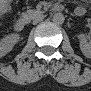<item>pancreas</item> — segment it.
<instances>
[{
    "instance_id": "obj_1",
    "label": "pancreas",
    "mask_w": 91,
    "mask_h": 91,
    "mask_svg": "<svg viewBox=\"0 0 91 91\" xmlns=\"http://www.w3.org/2000/svg\"><path fill=\"white\" fill-rule=\"evenodd\" d=\"M40 13L39 10H27L25 13H23V17L28 18V19H32L35 16H37Z\"/></svg>"
}]
</instances>
